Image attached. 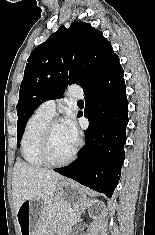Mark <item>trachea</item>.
Returning a JSON list of instances; mask_svg holds the SVG:
<instances>
[{
    "instance_id": "trachea-1",
    "label": "trachea",
    "mask_w": 155,
    "mask_h": 235,
    "mask_svg": "<svg viewBox=\"0 0 155 235\" xmlns=\"http://www.w3.org/2000/svg\"><path fill=\"white\" fill-rule=\"evenodd\" d=\"M78 103H83V101H82V100H79Z\"/></svg>"
}]
</instances>
